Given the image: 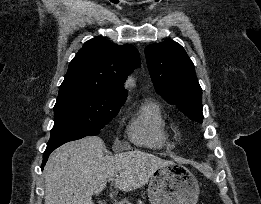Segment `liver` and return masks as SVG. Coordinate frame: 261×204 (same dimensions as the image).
Listing matches in <instances>:
<instances>
[{"mask_svg":"<svg viewBox=\"0 0 261 204\" xmlns=\"http://www.w3.org/2000/svg\"><path fill=\"white\" fill-rule=\"evenodd\" d=\"M98 136L68 142L56 149L44 168V204H94L92 195L116 176L115 187L132 191L143 187L153 172L170 161L139 150L110 156Z\"/></svg>","mask_w":261,"mask_h":204,"instance_id":"1","label":"liver"}]
</instances>
